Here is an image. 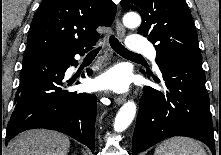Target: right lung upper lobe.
I'll list each match as a JSON object with an SVG mask.
<instances>
[{
	"mask_svg": "<svg viewBox=\"0 0 221 155\" xmlns=\"http://www.w3.org/2000/svg\"><path fill=\"white\" fill-rule=\"evenodd\" d=\"M115 13L111 0H43L32 20L24 55L88 50L100 36L97 27L110 26Z\"/></svg>",
	"mask_w": 221,
	"mask_h": 155,
	"instance_id": "obj_1",
	"label": "right lung upper lobe"
}]
</instances>
